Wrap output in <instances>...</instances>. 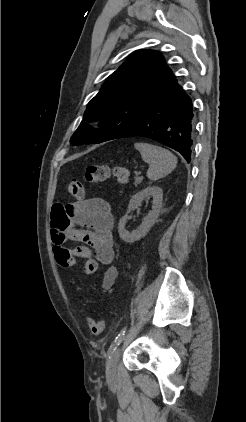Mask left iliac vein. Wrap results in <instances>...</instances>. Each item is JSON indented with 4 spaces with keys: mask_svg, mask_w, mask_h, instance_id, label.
<instances>
[{
    "mask_svg": "<svg viewBox=\"0 0 246 422\" xmlns=\"http://www.w3.org/2000/svg\"><path fill=\"white\" fill-rule=\"evenodd\" d=\"M119 355H120V349L118 348L112 353L109 360L107 361L106 377H107L108 382H112L116 378V369H117Z\"/></svg>",
    "mask_w": 246,
    "mask_h": 422,
    "instance_id": "obj_1",
    "label": "left iliac vein"
}]
</instances>
